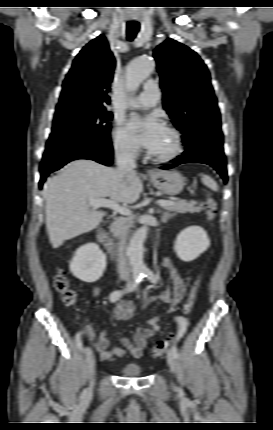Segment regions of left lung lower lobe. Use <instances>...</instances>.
<instances>
[{
	"mask_svg": "<svg viewBox=\"0 0 273 430\" xmlns=\"http://www.w3.org/2000/svg\"><path fill=\"white\" fill-rule=\"evenodd\" d=\"M223 134L219 126H213L207 122L197 127L191 135L183 136L185 152L177 158L171 160L172 165L161 167L170 169L182 163L197 162L212 166L227 182V170L225 155L223 152Z\"/></svg>",
	"mask_w": 273,
	"mask_h": 430,
	"instance_id": "left-lung-lower-lobe-1",
	"label": "left lung lower lobe"
}]
</instances>
